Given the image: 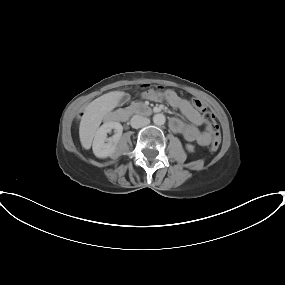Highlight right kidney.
Here are the masks:
<instances>
[{
	"mask_svg": "<svg viewBox=\"0 0 285 285\" xmlns=\"http://www.w3.org/2000/svg\"><path fill=\"white\" fill-rule=\"evenodd\" d=\"M115 130V135L112 138H107V133ZM123 132V127L118 122L109 121L104 123L97 131L93 140V153L98 158H107L114 155L116 145L120 140ZM108 143H105L107 142Z\"/></svg>",
	"mask_w": 285,
	"mask_h": 285,
	"instance_id": "obj_1",
	"label": "right kidney"
}]
</instances>
